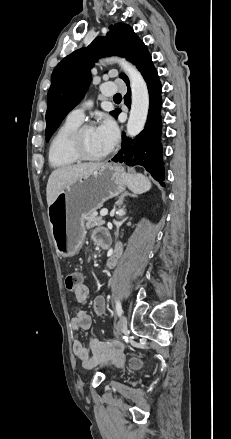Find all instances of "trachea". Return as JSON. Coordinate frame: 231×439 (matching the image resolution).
<instances>
[{"mask_svg":"<svg viewBox=\"0 0 231 439\" xmlns=\"http://www.w3.org/2000/svg\"><path fill=\"white\" fill-rule=\"evenodd\" d=\"M113 99L114 100L122 99V96H121L120 93H117V94L114 95Z\"/></svg>","mask_w":231,"mask_h":439,"instance_id":"1","label":"trachea"}]
</instances>
